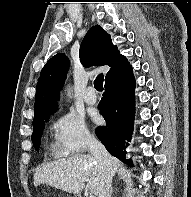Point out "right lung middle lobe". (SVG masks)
<instances>
[{
    "label": "right lung middle lobe",
    "instance_id": "1",
    "mask_svg": "<svg viewBox=\"0 0 191 197\" xmlns=\"http://www.w3.org/2000/svg\"><path fill=\"white\" fill-rule=\"evenodd\" d=\"M45 120L33 126L32 142L36 150H38V147L40 145V138L42 130L44 129Z\"/></svg>",
    "mask_w": 191,
    "mask_h": 197
}]
</instances>
